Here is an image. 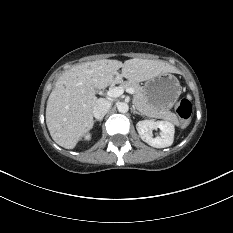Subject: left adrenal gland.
<instances>
[{"instance_id":"a2214340","label":"left adrenal gland","mask_w":233,"mask_h":233,"mask_svg":"<svg viewBox=\"0 0 233 233\" xmlns=\"http://www.w3.org/2000/svg\"><path fill=\"white\" fill-rule=\"evenodd\" d=\"M132 113H133V114H138V115L143 116V114L140 113V112H138L134 107H133V109H132Z\"/></svg>"}]
</instances>
